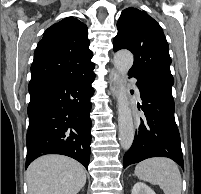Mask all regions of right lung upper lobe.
Here are the masks:
<instances>
[{"label":"right lung upper lobe","instance_id":"1","mask_svg":"<svg viewBox=\"0 0 201 194\" xmlns=\"http://www.w3.org/2000/svg\"><path fill=\"white\" fill-rule=\"evenodd\" d=\"M87 26L67 17L49 27L38 43L31 66V81L73 79L94 69Z\"/></svg>","mask_w":201,"mask_h":194}]
</instances>
